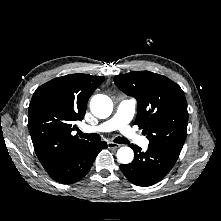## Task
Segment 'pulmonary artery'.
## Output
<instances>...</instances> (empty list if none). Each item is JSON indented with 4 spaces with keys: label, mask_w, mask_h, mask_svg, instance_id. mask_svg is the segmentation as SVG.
<instances>
[{
    "label": "pulmonary artery",
    "mask_w": 221,
    "mask_h": 221,
    "mask_svg": "<svg viewBox=\"0 0 221 221\" xmlns=\"http://www.w3.org/2000/svg\"><path fill=\"white\" fill-rule=\"evenodd\" d=\"M136 111V101L133 99H122L117 105L114 115L96 127H85V132L105 133L114 130H119L128 140L146 147L148 141L139 136L130 126Z\"/></svg>",
    "instance_id": "obj_1"
}]
</instances>
